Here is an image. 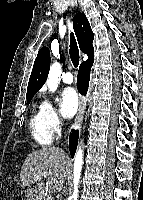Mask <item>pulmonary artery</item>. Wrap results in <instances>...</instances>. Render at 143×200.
<instances>
[{"instance_id":"pulmonary-artery-1","label":"pulmonary artery","mask_w":143,"mask_h":200,"mask_svg":"<svg viewBox=\"0 0 143 200\" xmlns=\"http://www.w3.org/2000/svg\"><path fill=\"white\" fill-rule=\"evenodd\" d=\"M62 81L65 84H71L74 81L73 75L70 72H67L63 75Z\"/></svg>"}]
</instances>
